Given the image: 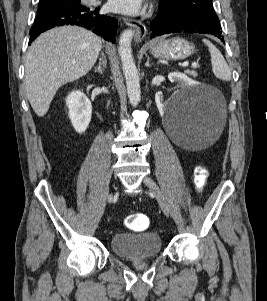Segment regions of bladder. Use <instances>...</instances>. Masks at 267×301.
<instances>
[{
  "label": "bladder",
  "mask_w": 267,
  "mask_h": 301,
  "mask_svg": "<svg viewBox=\"0 0 267 301\" xmlns=\"http://www.w3.org/2000/svg\"><path fill=\"white\" fill-rule=\"evenodd\" d=\"M112 252L123 259L155 257L162 251L161 237L151 231L141 233H117L110 239Z\"/></svg>",
  "instance_id": "bladder-1"
}]
</instances>
